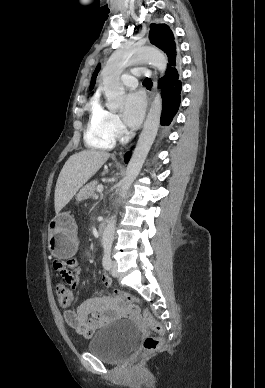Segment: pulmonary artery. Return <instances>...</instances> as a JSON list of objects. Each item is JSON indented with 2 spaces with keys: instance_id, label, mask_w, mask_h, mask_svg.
Masks as SVG:
<instances>
[{
  "instance_id": "pulmonary-artery-1",
  "label": "pulmonary artery",
  "mask_w": 265,
  "mask_h": 388,
  "mask_svg": "<svg viewBox=\"0 0 265 388\" xmlns=\"http://www.w3.org/2000/svg\"><path fill=\"white\" fill-rule=\"evenodd\" d=\"M135 74L138 72L135 71ZM138 77L140 79H151L152 78V73L151 72H140L138 74ZM138 81L135 79L134 75H123L122 77V85L123 86H137Z\"/></svg>"
}]
</instances>
